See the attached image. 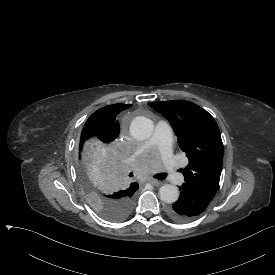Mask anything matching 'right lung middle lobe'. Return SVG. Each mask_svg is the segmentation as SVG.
<instances>
[{
	"mask_svg": "<svg viewBox=\"0 0 275 275\" xmlns=\"http://www.w3.org/2000/svg\"><path fill=\"white\" fill-rule=\"evenodd\" d=\"M79 175L85 197L101 217L120 221L131 212L132 195L125 196L129 153L117 146H104L99 137L84 134L77 141Z\"/></svg>",
	"mask_w": 275,
	"mask_h": 275,
	"instance_id": "obj_1",
	"label": "right lung middle lobe"
}]
</instances>
